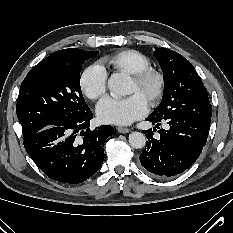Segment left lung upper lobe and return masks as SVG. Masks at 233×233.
<instances>
[{"label": "left lung upper lobe", "instance_id": "5c2ea615", "mask_svg": "<svg viewBox=\"0 0 233 233\" xmlns=\"http://www.w3.org/2000/svg\"><path fill=\"white\" fill-rule=\"evenodd\" d=\"M154 56L163 71L164 91L159 106L149 116L162 120L185 115L210 123L208 94L193 65L167 48H155Z\"/></svg>", "mask_w": 233, "mask_h": 233}]
</instances>
